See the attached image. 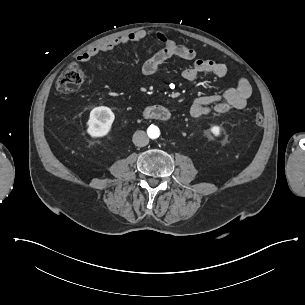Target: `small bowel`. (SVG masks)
Instances as JSON below:
<instances>
[{"mask_svg":"<svg viewBox=\"0 0 305 305\" xmlns=\"http://www.w3.org/2000/svg\"><path fill=\"white\" fill-rule=\"evenodd\" d=\"M124 44L137 43L153 39L162 45V48L142 65V74L151 77L156 74L159 67L167 60L178 57L192 61L193 64L186 68L182 77L185 81L192 82L201 73L213 74L218 78H224L228 74V67L212 59L198 58L194 49L176 44L169 36L160 31L140 30L123 35ZM120 41L109 38L107 41L94 46L86 52H80L78 59L86 61L93 59L105 51L118 48ZM252 95V87L246 78H239L236 85L227 88L221 94H209L195 98L189 107L190 115L194 118L209 115L214 112H225L229 109H243Z\"/></svg>","mask_w":305,"mask_h":305,"instance_id":"c3829d8e","label":"small bowel"}]
</instances>
